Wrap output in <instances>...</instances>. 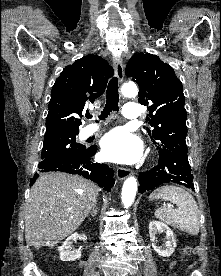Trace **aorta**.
<instances>
[{
  "label": "aorta",
  "instance_id": "1",
  "mask_svg": "<svg viewBox=\"0 0 221 276\" xmlns=\"http://www.w3.org/2000/svg\"><path fill=\"white\" fill-rule=\"evenodd\" d=\"M121 91L125 97H135L138 94V88L134 83H125ZM136 192L137 180L130 176L125 180L121 194V200L125 208H129L133 204Z\"/></svg>",
  "mask_w": 221,
  "mask_h": 276
}]
</instances>
